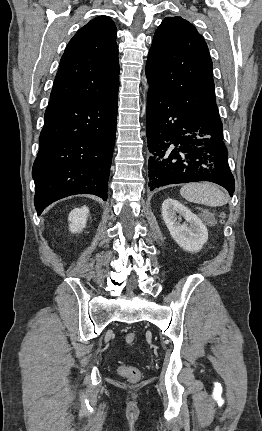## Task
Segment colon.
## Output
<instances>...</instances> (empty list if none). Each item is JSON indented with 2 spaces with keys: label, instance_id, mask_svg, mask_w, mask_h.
Returning <instances> with one entry per match:
<instances>
[{
  "label": "colon",
  "instance_id": "obj_1",
  "mask_svg": "<svg viewBox=\"0 0 262 431\" xmlns=\"http://www.w3.org/2000/svg\"><path fill=\"white\" fill-rule=\"evenodd\" d=\"M137 339V334L133 331H130L125 336V341L128 344H132ZM118 372L121 376L125 377L127 380L131 382H137L141 378L140 371L134 367L126 364H120L118 367Z\"/></svg>",
  "mask_w": 262,
  "mask_h": 431
}]
</instances>
